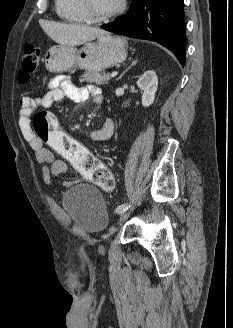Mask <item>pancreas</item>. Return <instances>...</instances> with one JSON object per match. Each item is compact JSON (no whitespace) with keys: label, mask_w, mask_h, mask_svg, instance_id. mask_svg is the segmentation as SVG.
Masks as SVG:
<instances>
[{"label":"pancreas","mask_w":233,"mask_h":328,"mask_svg":"<svg viewBox=\"0 0 233 328\" xmlns=\"http://www.w3.org/2000/svg\"><path fill=\"white\" fill-rule=\"evenodd\" d=\"M110 74H101L94 71L85 72L79 79L80 82L94 83L97 85L108 84Z\"/></svg>","instance_id":"obj_1"}]
</instances>
